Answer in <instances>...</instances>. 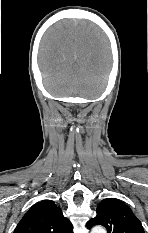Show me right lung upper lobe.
Segmentation results:
<instances>
[{
	"label": "right lung upper lobe",
	"mask_w": 148,
	"mask_h": 233,
	"mask_svg": "<svg viewBox=\"0 0 148 233\" xmlns=\"http://www.w3.org/2000/svg\"><path fill=\"white\" fill-rule=\"evenodd\" d=\"M72 223L54 201L43 200L23 216L13 233H73Z\"/></svg>",
	"instance_id": "1"
}]
</instances>
